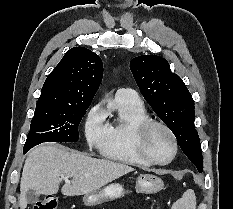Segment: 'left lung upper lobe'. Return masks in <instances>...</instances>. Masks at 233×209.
<instances>
[{"label":"left lung upper lobe","instance_id":"left-lung-upper-lobe-1","mask_svg":"<svg viewBox=\"0 0 233 209\" xmlns=\"http://www.w3.org/2000/svg\"><path fill=\"white\" fill-rule=\"evenodd\" d=\"M130 69L145 100L174 133L184 154L202 172L201 144L194 125V100L182 79L157 55L134 58Z\"/></svg>","mask_w":233,"mask_h":209}]
</instances>
